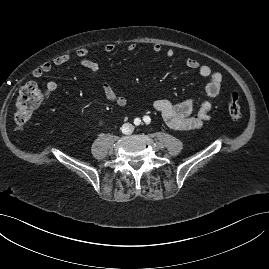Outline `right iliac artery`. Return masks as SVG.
<instances>
[{"mask_svg": "<svg viewBox=\"0 0 269 269\" xmlns=\"http://www.w3.org/2000/svg\"><path fill=\"white\" fill-rule=\"evenodd\" d=\"M140 122H141V120H140L139 118H136V119L134 120V124H135V125H139Z\"/></svg>", "mask_w": 269, "mask_h": 269, "instance_id": "82829eb1", "label": "right iliac artery"}]
</instances>
